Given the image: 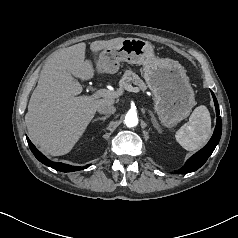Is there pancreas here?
I'll list each match as a JSON object with an SVG mask.
<instances>
[{
    "label": "pancreas",
    "mask_w": 238,
    "mask_h": 238,
    "mask_svg": "<svg viewBox=\"0 0 238 238\" xmlns=\"http://www.w3.org/2000/svg\"><path fill=\"white\" fill-rule=\"evenodd\" d=\"M130 83H133L138 89L142 91L147 89L146 84L136 73L132 72L131 70H127L119 81V91L122 92L128 85H130Z\"/></svg>",
    "instance_id": "obj_1"
}]
</instances>
